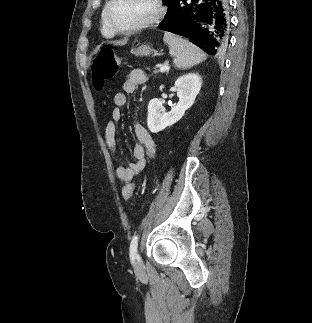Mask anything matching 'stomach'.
Listing matches in <instances>:
<instances>
[{
	"label": "stomach",
	"instance_id": "stomach-1",
	"mask_svg": "<svg viewBox=\"0 0 312 323\" xmlns=\"http://www.w3.org/2000/svg\"><path fill=\"white\" fill-rule=\"evenodd\" d=\"M152 52H155V50H152L151 46H148V44H142V46H139V48H133L131 50V54H135V56H150Z\"/></svg>",
	"mask_w": 312,
	"mask_h": 323
}]
</instances>
